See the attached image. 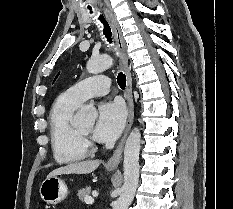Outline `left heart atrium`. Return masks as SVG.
I'll return each instance as SVG.
<instances>
[{"label":"left heart atrium","mask_w":233,"mask_h":209,"mask_svg":"<svg viewBox=\"0 0 233 209\" xmlns=\"http://www.w3.org/2000/svg\"><path fill=\"white\" fill-rule=\"evenodd\" d=\"M125 122L124 107L117 101L103 102L98 108V119L93 132L99 142H111L121 133Z\"/></svg>","instance_id":"1"}]
</instances>
